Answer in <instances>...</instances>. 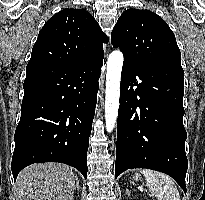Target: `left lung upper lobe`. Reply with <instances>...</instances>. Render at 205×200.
Segmentation results:
<instances>
[{
	"label": "left lung upper lobe",
	"mask_w": 205,
	"mask_h": 200,
	"mask_svg": "<svg viewBox=\"0 0 205 200\" xmlns=\"http://www.w3.org/2000/svg\"><path fill=\"white\" fill-rule=\"evenodd\" d=\"M111 43L120 48L127 64L138 66L181 59L174 33L160 16L149 10H125L112 31Z\"/></svg>",
	"instance_id": "5c2ea615"
}]
</instances>
